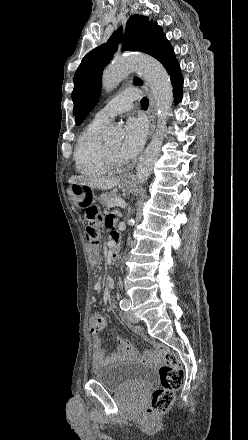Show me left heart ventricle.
<instances>
[{"mask_svg": "<svg viewBox=\"0 0 248 440\" xmlns=\"http://www.w3.org/2000/svg\"><path fill=\"white\" fill-rule=\"evenodd\" d=\"M120 145H121L120 140H113V141L107 142V146L113 152V154L116 156V158L122 162H125L119 154Z\"/></svg>", "mask_w": 248, "mask_h": 440, "instance_id": "b2bd125f", "label": "left heart ventricle"}]
</instances>
